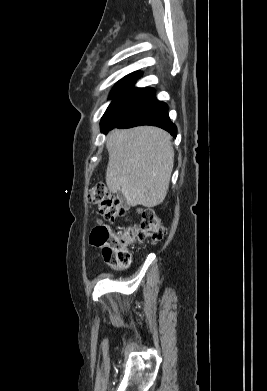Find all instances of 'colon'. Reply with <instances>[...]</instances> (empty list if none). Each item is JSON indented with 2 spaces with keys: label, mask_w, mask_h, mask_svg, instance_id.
I'll return each instance as SVG.
<instances>
[{
  "label": "colon",
  "mask_w": 267,
  "mask_h": 391,
  "mask_svg": "<svg viewBox=\"0 0 267 391\" xmlns=\"http://www.w3.org/2000/svg\"><path fill=\"white\" fill-rule=\"evenodd\" d=\"M88 201L108 220L114 221L126 214V208L121 200L103 183H96L90 187ZM164 234V226L157 214L151 209L144 208L139 211L138 221L120 232L113 231L107 225L95 227L90 234V243L102 248L107 263L126 269L131 264L129 247L132 243L136 240L157 242Z\"/></svg>",
  "instance_id": "5ec220e1"
}]
</instances>
